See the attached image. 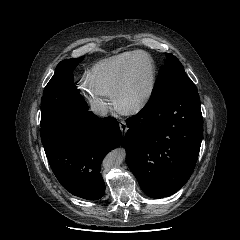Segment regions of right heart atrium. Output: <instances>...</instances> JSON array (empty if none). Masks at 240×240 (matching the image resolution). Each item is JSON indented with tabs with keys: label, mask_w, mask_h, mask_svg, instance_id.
I'll return each instance as SVG.
<instances>
[{
	"label": "right heart atrium",
	"mask_w": 240,
	"mask_h": 240,
	"mask_svg": "<svg viewBox=\"0 0 240 240\" xmlns=\"http://www.w3.org/2000/svg\"><path fill=\"white\" fill-rule=\"evenodd\" d=\"M81 88L91 101H101L109 107L116 108L115 103L111 100L110 91L102 84L97 82L90 74H85L81 80Z\"/></svg>",
	"instance_id": "right-heart-atrium-1"
}]
</instances>
